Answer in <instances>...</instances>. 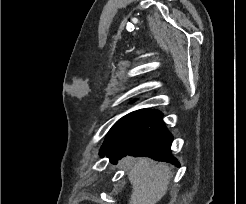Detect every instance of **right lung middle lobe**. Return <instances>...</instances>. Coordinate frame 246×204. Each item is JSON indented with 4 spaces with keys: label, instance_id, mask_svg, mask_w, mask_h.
I'll return each instance as SVG.
<instances>
[{
    "label": "right lung middle lobe",
    "instance_id": "dd1d6c3e",
    "mask_svg": "<svg viewBox=\"0 0 246 204\" xmlns=\"http://www.w3.org/2000/svg\"><path fill=\"white\" fill-rule=\"evenodd\" d=\"M124 118L125 117L121 118L118 122H116V124L110 129V131L106 135V139H105V141L101 147V150H100L101 156H105L107 154V152L113 146Z\"/></svg>",
    "mask_w": 246,
    "mask_h": 204
}]
</instances>
